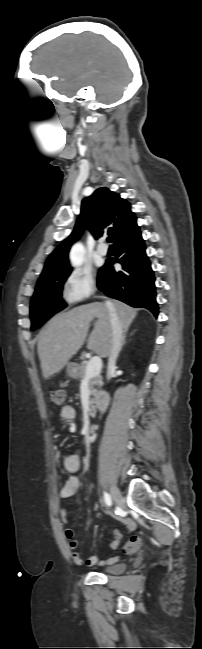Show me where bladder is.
<instances>
[{"mask_svg": "<svg viewBox=\"0 0 202 649\" xmlns=\"http://www.w3.org/2000/svg\"><path fill=\"white\" fill-rule=\"evenodd\" d=\"M125 568H126L125 563L118 562V563H115L113 565H110V566L106 567L105 569H103V572L106 573V574H120V573L124 572Z\"/></svg>", "mask_w": 202, "mask_h": 649, "instance_id": "31cf9c89", "label": "bladder"}]
</instances>
